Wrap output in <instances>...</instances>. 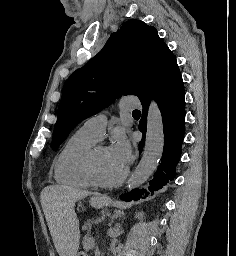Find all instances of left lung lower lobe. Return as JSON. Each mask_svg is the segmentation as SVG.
<instances>
[{"instance_id": "left-lung-lower-lobe-1", "label": "left lung lower lobe", "mask_w": 236, "mask_h": 256, "mask_svg": "<svg viewBox=\"0 0 236 256\" xmlns=\"http://www.w3.org/2000/svg\"><path fill=\"white\" fill-rule=\"evenodd\" d=\"M153 98L161 111L164 129V150L159 168L154 174L149 185L143 189H134L130 194L121 195L124 201L146 198L173 180L175 166L180 160L181 146L184 138L185 124V93L183 80L179 69L168 75L149 95L141 99L143 106L142 117L139 122V130L143 132V138L139 143V152L144 146L147 111L149 102Z\"/></svg>"}]
</instances>
